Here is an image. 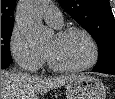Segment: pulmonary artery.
Here are the masks:
<instances>
[{
	"mask_svg": "<svg viewBox=\"0 0 115 99\" xmlns=\"http://www.w3.org/2000/svg\"><path fill=\"white\" fill-rule=\"evenodd\" d=\"M43 15L45 21L55 27H59L62 23V14L60 10L53 5L46 6L43 10Z\"/></svg>",
	"mask_w": 115,
	"mask_h": 99,
	"instance_id": "pulmonary-artery-1",
	"label": "pulmonary artery"
}]
</instances>
